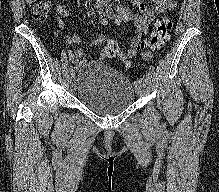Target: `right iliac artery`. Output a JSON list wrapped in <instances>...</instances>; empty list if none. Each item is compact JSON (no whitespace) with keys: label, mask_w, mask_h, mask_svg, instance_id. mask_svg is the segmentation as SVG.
Masks as SVG:
<instances>
[{"label":"right iliac artery","mask_w":219,"mask_h":192,"mask_svg":"<svg viewBox=\"0 0 219 192\" xmlns=\"http://www.w3.org/2000/svg\"><path fill=\"white\" fill-rule=\"evenodd\" d=\"M108 12H110V8H108L107 10H106V13H108ZM101 18H102V15H101ZM74 71V67L72 66L71 68H70V72H73Z\"/></svg>","instance_id":"right-iliac-artery-1"}]
</instances>
